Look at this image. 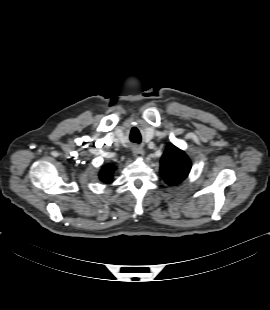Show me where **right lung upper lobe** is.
Listing matches in <instances>:
<instances>
[{"label":"right lung upper lobe","mask_w":270,"mask_h":310,"mask_svg":"<svg viewBox=\"0 0 270 310\" xmlns=\"http://www.w3.org/2000/svg\"><path fill=\"white\" fill-rule=\"evenodd\" d=\"M115 168L111 165H104L99 173L102 182L110 183L113 178Z\"/></svg>","instance_id":"right-lung-upper-lobe-1"}]
</instances>
